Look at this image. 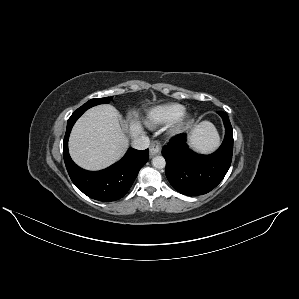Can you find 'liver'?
<instances>
[{
  "instance_id": "1",
  "label": "liver",
  "mask_w": 299,
  "mask_h": 299,
  "mask_svg": "<svg viewBox=\"0 0 299 299\" xmlns=\"http://www.w3.org/2000/svg\"><path fill=\"white\" fill-rule=\"evenodd\" d=\"M132 138L143 135L140 121L130 123ZM195 143L214 149L219 138L213 126L201 123L195 127ZM128 147V137L121 128L119 113L111 105H98L87 110L74 125L69 138V152L74 162L87 170H100L119 160Z\"/></svg>"
}]
</instances>
